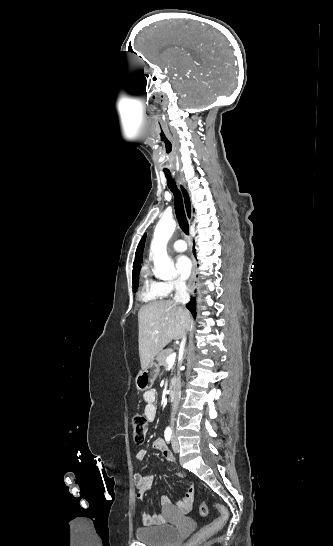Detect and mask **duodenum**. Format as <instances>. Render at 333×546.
I'll use <instances>...</instances> for the list:
<instances>
[{"mask_svg":"<svg viewBox=\"0 0 333 546\" xmlns=\"http://www.w3.org/2000/svg\"><path fill=\"white\" fill-rule=\"evenodd\" d=\"M176 389H177L176 379L172 378L168 385V394L171 401H175L176 399Z\"/></svg>","mask_w":333,"mask_h":546,"instance_id":"410a0bca","label":"duodenum"}]
</instances>
